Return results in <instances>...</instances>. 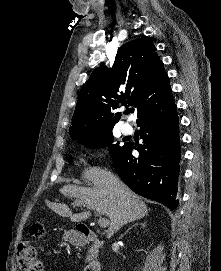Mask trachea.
Segmentation results:
<instances>
[{
    "instance_id": "1",
    "label": "trachea",
    "mask_w": 221,
    "mask_h": 271,
    "mask_svg": "<svg viewBox=\"0 0 221 271\" xmlns=\"http://www.w3.org/2000/svg\"><path fill=\"white\" fill-rule=\"evenodd\" d=\"M134 112V108H129L126 110V113H133Z\"/></svg>"
}]
</instances>
